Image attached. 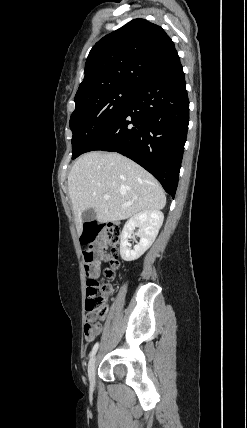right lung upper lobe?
I'll use <instances>...</instances> for the list:
<instances>
[{"instance_id": "cb5924a9", "label": "right lung upper lobe", "mask_w": 247, "mask_h": 428, "mask_svg": "<svg viewBox=\"0 0 247 428\" xmlns=\"http://www.w3.org/2000/svg\"><path fill=\"white\" fill-rule=\"evenodd\" d=\"M178 59L173 41L160 26L132 20L93 46L75 97L115 86L139 90Z\"/></svg>"}]
</instances>
